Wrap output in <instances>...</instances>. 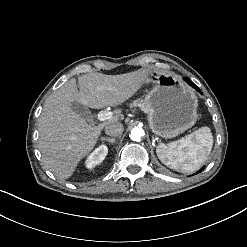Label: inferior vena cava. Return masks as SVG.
Instances as JSON below:
<instances>
[{"mask_svg":"<svg viewBox=\"0 0 247 247\" xmlns=\"http://www.w3.org/2000/svg\"><path fill=\"white\" fill-rule=\"evenodd\" d=\"M124 131L123 124L120 122H114L105 127V133L109 136L117 137Z\"/></svg>","mask_w":247,"mask_h":247,"instance_id":"obj_1","label":"inferior vena cava"}]
</instances>
